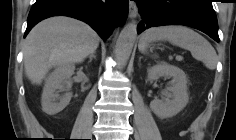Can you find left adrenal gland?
Here are the masks:
<instances>
[{"mask_svg": "<svg viewBox=\"0 0 236 140\" xmlns=\"http://www.w3.org/2000/svg\"><path fill=\"white\" fill-rule=\"evenodd\" d=\"M141 58H142V57L139 58V62L141 61Z\"/></svg>", "mask_w": 236, "mask_h": 140, "instance_id": "1", "label": "left adrenal gland"}]
</instances>
